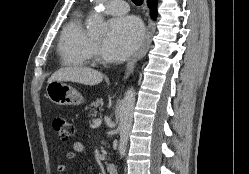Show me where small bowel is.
I'll use <instances>...</instances> for the list:
<instances>
[{"mask_svg":"<svg viewBox=\"0 0 249 174\" xmlns=\"http://www.w3.org/2000/svg\"><path fill=\"white\" fill-rule=\"evenodd\" d=\"M78 154H85V146L82 142H75L73 144L72 150L67 152L66 157L69 160H73L77 157ZM57 171L60 174H64L67 171V166L65 164H59L57 166Z\"/></svg>","mask_w":249,"mask_h":174,"instance_id":"small-bowel-1","label":"small bowel"}]
</instances>
